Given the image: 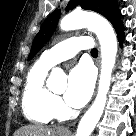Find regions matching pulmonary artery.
Returning <instances> with one entry per match:
<instances>
[{
    "label": "pulmonary artery",
    "instance_id": "e3ab8cb5",
    "mask_svg": "<svg viewBox=\"0 0 136 136\" xmlns=\"http://www.w3.org/2000/svg\"><path fill=\"white\" fill-rule=\"evenodd\" d=\"M92 45V40L88 37H71L45 51L41 55L40 60L44 64L52 67L64 60L72 58L80 50L90 49Z\"/></svg>",
    "mask_w": 136,
    "mask_h": 136
}]
</instances>
